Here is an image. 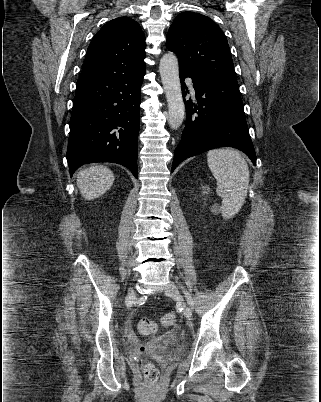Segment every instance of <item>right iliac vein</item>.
<instances>
[{"label":"right iliac vein","mask_w":321,"mask_h":402,"mask_svg":"<svg viewBox=\"0 0 321 402\" xmlns=\"http://www.w3.org/2000/svg\"><path fill=\"white\" fill-rule=\"evenodd\" d=\"M134 298H135V291L132 289V290L129 292L127 298H126V304H127V305H131L132 300H133Z\"/></svg>","instance_id":"obj_1"}]
</instances>
